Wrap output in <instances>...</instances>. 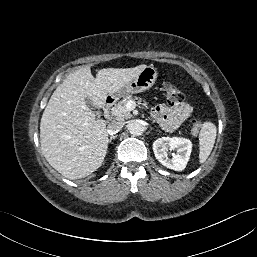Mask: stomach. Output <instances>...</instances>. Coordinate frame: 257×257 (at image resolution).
I'll use <instances>...</instances> for the list:
<instances>
[{
  "instance_id": "1",
  "label": "stomach",
  "mask_w": 257,
  "mask_h": 257,
  "mask_svg": "<svg viewBox=\"0 0 257 257\" xmlns=\"http://www.w3.org/2000/svg\"><path fill=\"white\" fill-rule=\"evenodd\" d=\"M158 77V71L153 65L145 66L142 71L119 91V95L137 94L151 88Z\"/></svg>"
}]
</instances>
